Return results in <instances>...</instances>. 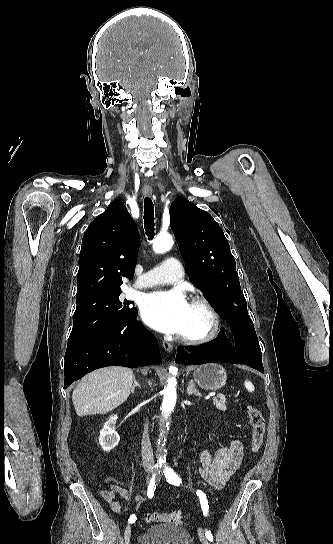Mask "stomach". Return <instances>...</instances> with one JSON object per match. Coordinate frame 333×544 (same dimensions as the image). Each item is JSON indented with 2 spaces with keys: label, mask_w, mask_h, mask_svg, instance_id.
Segmentation results:
<instances>
[{
  "label": "stomach",
  "mask_w": 333,
  "mask_h": 544,
  "mask_svg": "<svg viewBox=\"0 0 333 544\" xmlns=\"http://www.w3.org/2000/svg\"><path fill=\"white\" fill-rule=\"evenodd\" d=\"M194 380L197 384L210 391L221 389L226 384V371L217 363H206L198 368L193 373Z\"/></svg>",
  "instance_id": "1"
}]
</instances>
